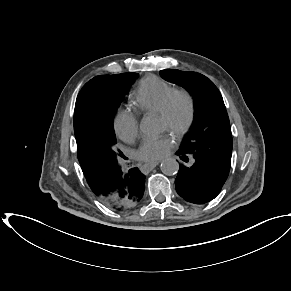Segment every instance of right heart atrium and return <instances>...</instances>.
<instances>
[{
	"mask_svg": "<svg viewBox=\"0 0 291 291\" xmlns=\"http://www.w3.org/2000/svg\"><path fill=\"white\" fill-rule=\"evenodd\" d=\"M113 127L116 135L121 140L132 142L139 132L138 118L127 109H119L114 117Z\"/></svg>",
	"mask_w": 291,
	"mask_h": 291,
	"instance_id": "right-heart-atrium-1",
	"label": "right heart atrium"
}]
</instances>
